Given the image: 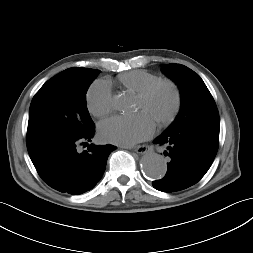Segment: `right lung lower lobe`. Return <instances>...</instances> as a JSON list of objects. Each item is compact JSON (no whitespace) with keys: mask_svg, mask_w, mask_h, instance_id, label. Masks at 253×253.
I'll return each instance as SVG.
<instances>
[{"mask_svg":"<svg viewBox=\"0 0 253 253\" xmlns=\"http://www.w3.org/2000/svg\"><path fill=\"white\" fill-rule=\"evenodd\" d=\"M95 130L69 142H63L31 158L40 177L52 188L73 195L92 189L101 179L113 145H89L79 152L77 145L91 141ZM83 144V143H81Z\"/></svg>","mask_w":253,"mask_h":253,"instance_id":"obj_1","label":"right lung lower lobe"}]
</instances>
